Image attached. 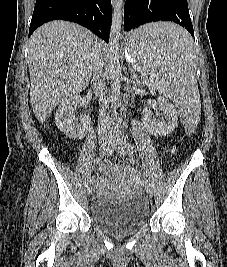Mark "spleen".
<instances>
[{
	"mask_svg": "<svg viewBox=\"0 0 227 267\" xmlns=\"http://www.w3.org/2000/svg\"><path fill=\"white\" fill-rule=\"evenodd\" d=\"M125 46L133 63H139L142 77L160 81L165 95L179 106L182 115H200L199 91L196 80V54L191 36L180 22L157 19L141 23L127 31ZM199 121V116H192Z\"/></svg>",
	"mask_w": 227,
	"mask_h": 267,
	"instance_id": "spleen-1",
	"label": "spleen"
}]
</instances>
